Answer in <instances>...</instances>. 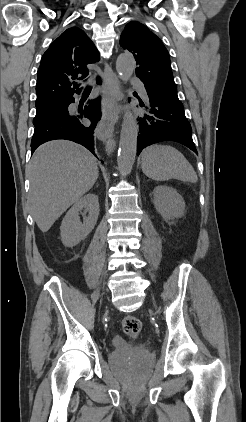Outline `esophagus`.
I'll return each mask as SVG.
<instances>
[{
  "mask_svg": "<svg viewBox=\"0 0 246 422\" xmlns=\"http://www.w3.org/2000/svg\"><path fill=\"white\" fill-rule=\"evenodd\" d=\"M103 83V113L98 124L97 133L98 137L106 142L107 149L111 151L115 146L113 130L118 119V104L121 101L122 93L118 77L107 63L104 66Z\"/></svg>",
  "mask_w": 246,
  "mask_h": 422,
  "instance_id": "1",
  "label": "esophagus"
}]
</instances>
